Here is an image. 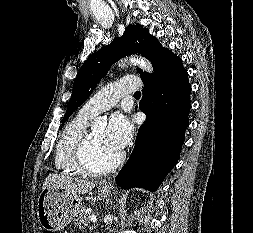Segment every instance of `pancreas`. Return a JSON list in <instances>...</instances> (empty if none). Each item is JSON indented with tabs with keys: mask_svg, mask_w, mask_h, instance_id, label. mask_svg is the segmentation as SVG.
I'll use <instances>...</instances> for the list:
<instances>
[{
	"mask_svg": "<svg viewBox=\"0 0 253 233\" xmlns=\"http://www.w3.org/2000/svg\"><path fill=\"white\" fill-rule=\"evenodd\" d=\"M91 214L92 212L88 208L82 207L80 214L75 219L76 224L81 228H85L90 223L88 215Z\"/></svg>",
	"mask_w": 253,
	"mask_h": 233,
	"instance_id": "1",
	"label": "pancreas"
}]
</instances>
